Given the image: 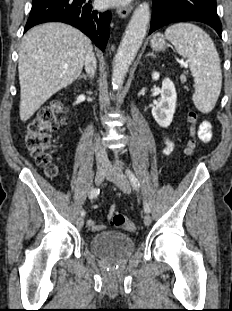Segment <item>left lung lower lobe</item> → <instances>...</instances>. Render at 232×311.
<instances>
[{"label":"left lung lower lobe","mask_w":232,"mask_h":311,"mask_svg":"<svg viewBox=\"0 0 232 311\" xmlns=\"http://www.w3.org/2000/svg\"><path fill=\"white\" fill-rule=\"evenodd\" d=\"M182 21L206 23L221 37L216 0H154L149 34L167 24Z\"/></svg>","instance_id":"1"}]
</instances>
